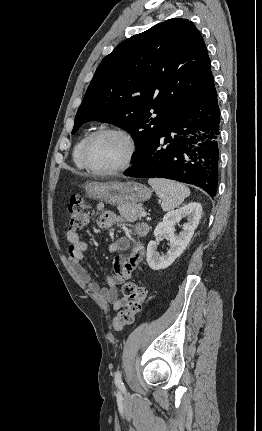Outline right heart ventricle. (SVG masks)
<instances>
[{
  "mask_svg": "<svg viewBox=\"0 0 262 431\" xmlns=\"http://www.w3.org/2000/svg\"><path fill=\"white\" fill-rule=\"evenodd\" d=\"M89 135L90 134H85L82 138H80L79 141L74 146V149L72 152L73 163H74L75 167L77 169H80V170L85 169L83 164H82V161H81V150H82V147H83L85 140L87 139V137Z\"/></svg>",
  "mask_w": 262,
  "mask_h": 431,
  "instance_id": "right-heart-ventricle-1",
  "label": "right heart ventricle"
}]
</instances>
